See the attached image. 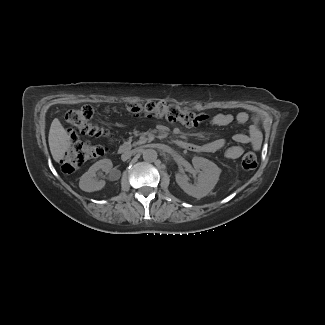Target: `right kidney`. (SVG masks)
Wrapping results in <instances>:
<instances>
[{
	"label": "right kidney",
	"mask_w": 325,
	"mask_h": 325,
	"mask_svg": "<svg viewBox=\"0 0 325 325\" xmlns=\"http://www.w3.org/2000/svg\"><path fill=\"white\" fill-rule=\"evenodd\" d=\"M113 167L110 159H102L94 163L87 172H85L79 181V187L85 192H94L101 190L105 186L104 180H98L97 171L102 170L103 172L109 173Z\"/></svg>",
	"instance_id": "ca27d5eb"
}]
</instances>
